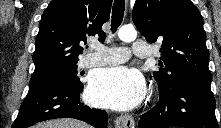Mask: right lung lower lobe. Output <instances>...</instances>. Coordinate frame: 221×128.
I'll use <instances>...</instances> for the list:
<instances>
[{
    "label": "right lung lower lobe",
    "mask_w": 221,
    "mask_h": 128,
    "mask_svg": "<svg viewBox=\"0 0 221 128\" xmlns=\"http://www.w3.org/2000/svg\"><path fill=\"white\" fill-rule=\"evenodd\" d=\"M83 87L61 81L29 88L13 128H27L37 122L54 118H75L95 128H107L105 110L90 108L80 102Z\"/></svg>",
    "instance_id": "obj_1"
}]
</instances>
